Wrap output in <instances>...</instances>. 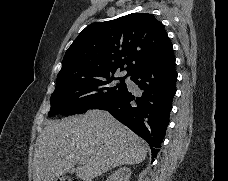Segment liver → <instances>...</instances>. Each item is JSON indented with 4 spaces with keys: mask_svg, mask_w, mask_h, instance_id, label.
I'll use <instances>...</instances> for the list:
<instances>
[{
    "mask_svg": "<svg viewBox=\"0 0 228 181\" xmlns=\"http://www.w3.org/2000/svg\"><path fill=\"white\" fill-rule=\"evenodd\" d=\"M146 141L116 121L108 111L50 121L39 133L33 181H54L74 169L80 181H92L122 165H139L147 157Z\"/></svg>",
    "mask_w": 228,
    "mask_h": 181,
    "instance_id": "obj_1",
    "label": "liver"
}]
</instances>
